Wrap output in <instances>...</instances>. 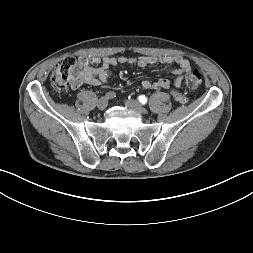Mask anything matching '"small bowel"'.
Here are the masks:
<instances>
[{
  "instance_id": "1",
  "label": "small bowel",
  "mask_w": 253,
  "mask_h": 253,
  "mask_svg": "<svg viewBox=\"0 0 253 253\" xmlns=\"http://www.w3.org/2000/svg\"><path fill=\"white\" fill-rule=\"evenodd\" d=\"M79 61L83 69L73 83V87H79L81 85L100 86L101 84L107 83L111 79V74L108 69L113 66L129 64L135 65L140 69H145L147 67H153L159 62L163 65L175 64L177 66L172 70V73L177 75L174 84L175 87L178 88L182 85L183 74L191 69L190 62L180 56H161L159 58L155 56H108L99 58L83 55L80 56ZM141 85L145 89H169L170 81L167 78H159L154 82L150 80H143ZM171 94L178 102L183 103L186 101V97L177 90H172Z\"/></svg>"
}]
</instances>
